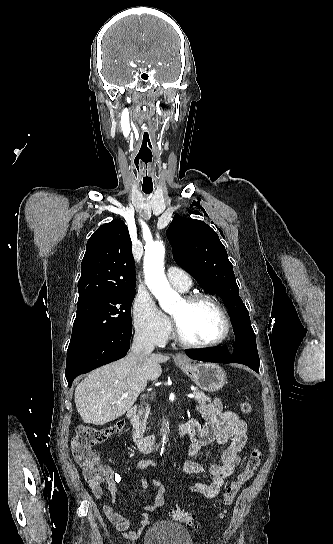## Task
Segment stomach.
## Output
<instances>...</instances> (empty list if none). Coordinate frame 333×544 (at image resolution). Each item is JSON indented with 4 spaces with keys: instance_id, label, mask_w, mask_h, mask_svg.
<instances>
[{
    "instance_id": "obj_1",
    "label": "stomach",
    "mask_w": 333,
    "mask_h": 544,
    "mask_svg": "<svg viewBox=\"0 0 333 544\" xmlns=\"http://www.w3.org/2000/svg\"><path fill=\"white\" fill-rule=\"evenodd\" d=\"M177 365L199 388L206 392H216L220 390L227 381L224 369L214 363H177Z\"/></svg>"
}]
</instances>
